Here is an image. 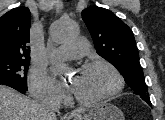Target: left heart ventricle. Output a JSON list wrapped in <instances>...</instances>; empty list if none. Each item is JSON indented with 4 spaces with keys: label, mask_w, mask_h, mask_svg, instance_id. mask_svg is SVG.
Returning a JSON list of instances; mask_svg holds the SVG:
<instances>
[{
    "label": "left heart ventricle",
    "mask_w": 165,
    "mask_h": 120,
    "mask_svg": "<svg viewBox=\"0 0 165 120\" xmlns=\"http://www.w3.org/2000/svg\"><path fill=\"white\" fill-rule=\"evenodd\" d=\"M115 84L112 73L104 67L81 69L73 78V92L83 99L98 98Z\"/></svg>",
    "instance_id": "b2bd125f"
}]
</instances>
